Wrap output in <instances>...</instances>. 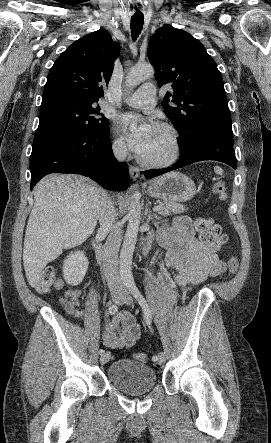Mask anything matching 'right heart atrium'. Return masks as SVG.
Listing matches in <instances>:
<instances>
[{
    "label": "right heart atrium",
    "instance_id": "1",
    "mask_svg": "<svg viewBox=\"0 0 271 443\" xmlns=\"http://www.w3.org/2000/svg\"><path fill=\"white\" fill-rule=\"evenodd\" d=\"M111 147L114 153L118 155L125 154L127 152V146L125 140L117 133L115 128L112 129Z\"/></svg>",
    "mask_w": 271,
    "mask_h": 443
}]
</instances>
